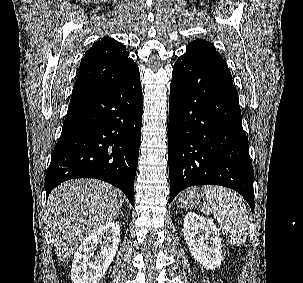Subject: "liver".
<instances>
[{"mask_svg": "<svg viewBox=\"0 0 303 283\" xmlns=\"http://www.w3.org/2000/svg\"><path fill=\"white\" fill-rule=\"evenodd\" d=\"M122 193L94 179L67 181L53 190L47 216L58 259L67 263L78 246L121 212Z\"/></svg>", "mask_w": 303, "mask_h": 283, "instance_id": "6515ba94", "label": "liver"}]
</instances>
